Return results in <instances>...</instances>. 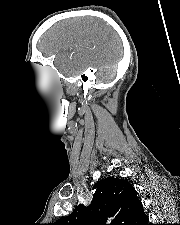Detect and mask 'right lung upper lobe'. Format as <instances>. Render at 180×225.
<instances>
[{
  "label": "right lung upper lobe",
  "mask_w": 180,
  "mask_h": 225,
  "mask_svg": "<svg viewBox=\"0 0 180 225\" xmlns=\"http://www.w3.org/2000/svg\"><path fill=\"white\" fill-rule=\"evenodd\" d=\"M88 207L78 205L52 225H142L147 220L136 190L124 179L98 181Z\"/></svg>",
  "instance_id": "cb5924a9"
}]
</instances>
